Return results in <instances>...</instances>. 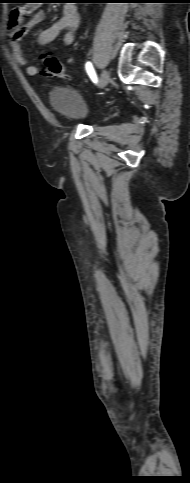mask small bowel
I'll return each instance as SVG.
<instances>
[{"label":"small bowel","instance_id":"small-bowel-1","mask_svg":"<svg viewBox=\"0 0 190 483\" xmlns=\"http://www.w3.org/2000/svg\"><path fill=\"white\" fill-rule=\"evenodd\" d=\"M28 20L25 21V18ZM45 18L43 10H38L35 5H22L14 8L8 16V42L12 51V59L22 67H25L28 76H35L38 69L34 65L28 64L24 51L21 47V39L35 25L42 22ZM80 24V15L77 7L68 3L63 7L60 18L48 28L38 34L40 44H49L59 35L64 46L71 45L75 39L76 32Z\"/></svg>","mask_w":190,"mask_h":483}]
</instances>
